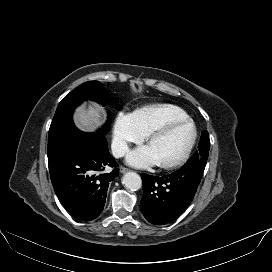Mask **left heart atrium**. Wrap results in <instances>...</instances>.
<instances>
[{"instance_id":"left-heart-atrium-1","label":"left heart atrium","mask_w":272,"mask_h":272,"mask_svg":"<svg viewBox=\"0 0 272 272\" xmlns=\"http://www.w3.org/2000/svg\"><path fill=\"white\" fill-rule=\"evenodd\" d=\"M127 162L136 167H147L158 163L148 146L140 147L132 151L127 156Z\"/></svg>"}]
</instances>
